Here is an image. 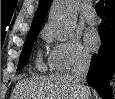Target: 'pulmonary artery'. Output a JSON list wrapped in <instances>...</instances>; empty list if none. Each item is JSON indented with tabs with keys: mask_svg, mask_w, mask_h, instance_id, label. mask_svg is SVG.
<instances>
[{
	"mask_svg": "<svg viewBox=\"0 0 115 99\" xmlns=\"http://www.w3.org/2000/svg\"><path fill=\"white\" fill-rule=\"evenodd\" d=\"M85 18L88 23L94 24L97 22V16L94 10L88 11Z\"/></svg>",
	"mask_w": 115,
	"mask_h": 99,
	"instance_id": "pulmonary-artery-1",
	"label": "pulmonary artery"
}]
</instances>
